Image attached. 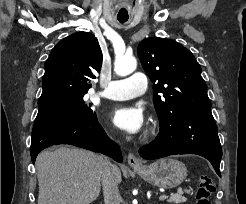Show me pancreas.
Returning <instances> with one entry per match:
<instances>
[{"label":"pancreas","instance_id":"cf45deb5","mask_svg":"<svg viewBox=\"0 0 246 204\" xmlns=\"http://www.w3.org/2000/svg\"><path fill=\"white\" fill-rule=\"evenodd\" d=\"M187 201V198L182 196L181 193L178 194H172L168 202L170 203H175V204H180L184 203Z\"/></svg>","mask_w":246,"mask_h":204}]
</instances>
